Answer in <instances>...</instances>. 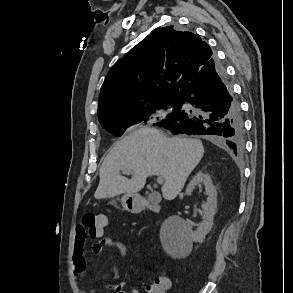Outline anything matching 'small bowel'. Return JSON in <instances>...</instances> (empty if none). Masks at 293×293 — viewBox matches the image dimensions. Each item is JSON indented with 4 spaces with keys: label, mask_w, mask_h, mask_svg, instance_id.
Instances as JSON below:
<instances>
[{
    "label": "small bowel",
    "mask_w": 293,
    "mask_h": 293,
    "mask_svg": "<svg viewBox=\"0 0 293 293\" xmlns=\"http://www.w3.org/2000/svg\"><path fill=\"white\" fill-rule=\"evenodd\" d=\"M86 243L87 236L80 227L76 231L72 260L73 271L79 278L84 277L87 272L89 255H99L107 248L117 250L121 256H125L127 253V247L125 244L110 237H106L104 234H102L99 238L94 239L90 249L86 248ZM166 280L167 291L171 287V280L167 277ZM107 286L115 293H142V291L137 288L129 289L126 280H122L117 283H108ZM82 293H96V290L90 288L82 291Z\"/></svg>",
    "instance_id": "c3829d8e"
}]
</instances>
